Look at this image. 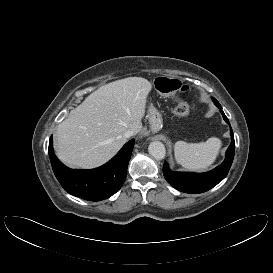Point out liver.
<instances>
[{
	"label": "liver",
	"instance_id": "6515ba94",
	"mask_svg": "<svg viewBox=\"0 0 273 273\" xmlns=\"http://www.w3.org/2000/svg\"><path fill=\"white\" fill-rule=\"evenodd\" d=\"M151 83L128 77L101 86L56 130V154L64 163L84 169L101 166L126 143L124 133L142 129Z\"/></svg>",
	"mask_w": 273,
	"mask_h": 273
}]
</instances>
